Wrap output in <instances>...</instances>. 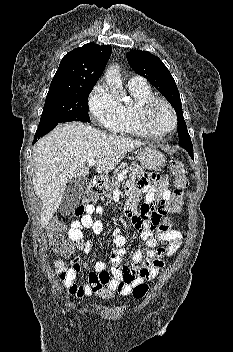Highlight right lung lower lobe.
Returning a JSON list of instances; mask_svg holds the SVG:
<instances>
[{
	"label": "right lung lower lobe",
	"mask_w": 233,
	"mask_h": 352,
	"mask_svg": "<svg viewBox=\"0 0 233 352\" xmlns=\"http://www.w3.org/2000/svg\"><path fill=\"white\" fill-rule=\"evenodd\" d=\"M55 126L50 127L48 129L42 130V131H38L36 132V135L34 136V140H33V144L40 138L43 137L44 135H46L47 133H49L53 128H55Z\"/></svg>",
	"instance_id": "right-lung-lower-lobe-1"
}]
</instances>
